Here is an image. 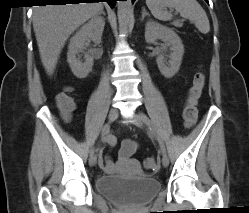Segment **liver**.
I'll return each mask as SVG.
<instances>
[{"label": "liver", "mask_w": 249, "mask_h": 213, "mask_svg": "<svg viewBox=\"0 0 249 213\" xmlns=\"http://www.w3.org/2000/svg\"><path fill=\"white\" fill-rule=\"evenodd\" d=\"M102 9L101 2L34 6L33 29L40 58L48 75H53L69 36Z\"/></svg>", "instance_id": "6515ba94"}]
</instances>
